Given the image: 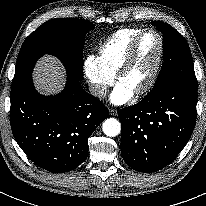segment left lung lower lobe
Segmentation results:
<instances>
[{
  "instance_id": "1",
  "label": "left lung lower lobe",
  "mask_w": 206,
  "mask_h": 206,
  "mask_svg": "<svg viewBox=\"0 0 206 206\" xmlns=\"http://www.w3.org/2000/svg\"><path fill=\"white\" fill-rule=\"evenodd\" d=\"M197 86L177 84L119 110L121 154L132 169L156 172L189 141L196 123Z\"/></svg>"
}]
</instances>
